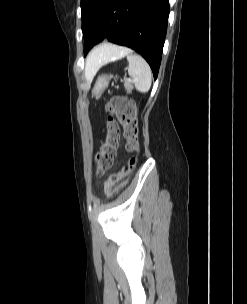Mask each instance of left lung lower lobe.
Wrapping results in <instances>:
<instances>
[{
  "label": "left lung lower lobe",
  "instance_id": "left-lung-lower-lobe-1",
  "mask_svg": "<svg viewBox=\"0 0 247 304\" xmlns=\"http://www.w3.org/2000/svg\"><path fill=\"white\" fill-rule=\"evenodd\" d=\"M169 16L168 0H104L95 20L82 30L84 54L102 40L130 47L157 78Z\"/></svg>",
  "mask_w": 247,
  "mask_h": 304
}]
</instances>
